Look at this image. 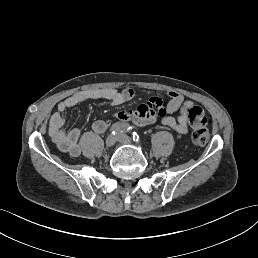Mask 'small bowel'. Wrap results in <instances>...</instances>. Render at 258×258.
Returning <instances> with one entry per match:
<instances>
[{
    "label": "small bowel",
    "mask_w": 258,
    "mask_h": 258,
    "mask_svg": "<svg viewBox=\"0 0 258 258\" xmlns=\"http://www.w3.org/2000/svg\"><path fill=\"white\" fill-rule=\"evenodd\" d=\"M135 92L132 88L117 90L113 88H93L82 90L65 98L58 103L56 111L49 121V135L57 148L73 157L81 153L79 146L80 130L72 128L68 131L64 129L67 109L78 104L98 99L108 100L112 105L119 106L133 99ZM169 100L166 104L158 96H152L147 103L139 105L131 111H119L115 118L120 122L131 121L137 126H145L155 123L161 119V123L173 129L178 135H183L188 131V127L204 126L207 118L200 106L194 105L190 99L176 92L168 91ZM179 111L177 118L173 117ZM109 128V123L104 120H97L92 124L95 133H104Z\"/></svg>",
    "instance_id": "c3829d8e"
}]
</instances>
